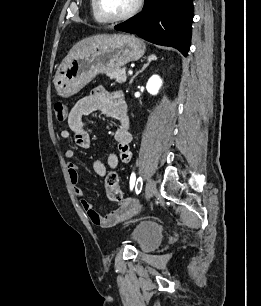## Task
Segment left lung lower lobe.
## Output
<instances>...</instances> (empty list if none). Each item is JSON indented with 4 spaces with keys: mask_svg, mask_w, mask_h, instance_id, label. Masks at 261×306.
<instances>
[{
    "mask_svg": "<svg viewBox=\"0 0 261 306\" xmlns=\"http://www.w3.org/2000/svg\"><path fill=\"white\" fill-rule=\"evenodd\" d=\"M192 0H146L141 13L115 26L152 43L178 49L184 56L190 47Z\"/></svg>",
    "mask_w": 261,
    "mask_h": 306,
    "instance_id": "1",
    "label": "left lung lower lobe"
}]
</instances>
